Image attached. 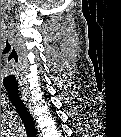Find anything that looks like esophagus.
<instances>
[{
  "label": "esophagus",
  "mask_w": 121,
  "mask_h": 137,
  "mask_svg": "<svg viewBox=\"0 0 121 137\" xmlns=\"http://www.w3.org/2000/svg\"><path fill=\"white\" fill-rule=\"evenodd\" d=\"M20 96H21L22 100L24 101V103L27 105L28 109L31 111V109H32L31 103L28 100V97H27L24 89H20Z\"/></svg>",
  "instance_id": "1"
}]
</instances>
